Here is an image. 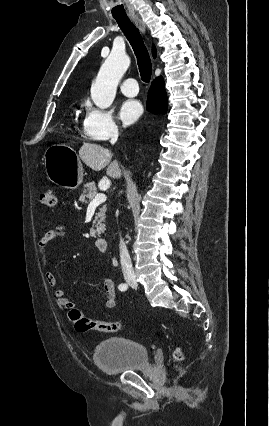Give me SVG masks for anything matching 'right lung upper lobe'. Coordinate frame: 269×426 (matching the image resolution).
<instances>
[{"label": "right lung upper lobe", "mask_w": 269, "mask_h": 426, "mask_svg": "<svg viewBox=\"0 0 269 426\" xmlns=\"http://www.w3.org/2000/svg\"><path fill=\"white\" fill-rule=\"evenodd\" d=\"M152 53H153V56L156 57V48H155V46H153V48H152Z\"/></svg>", "instance_id": "right-lung-upper-lobe-1"}]
</instances>
